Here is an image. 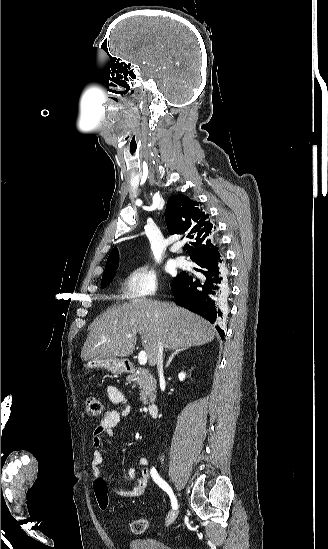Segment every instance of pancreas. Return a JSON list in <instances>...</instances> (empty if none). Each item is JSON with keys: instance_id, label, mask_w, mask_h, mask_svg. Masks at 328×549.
I'll list each match as a JSON object with an SVG mask.
<instances>
[{"instance_id": "obj_1", "label": "pancreas", "mask_w": 328, "mask_h": 549, "mask_svg": "<svg viewBox=\"0 0 328 549\" xmlns=\"http://www.w3.org/2000/svg\"><path fill=\"white\" fill-rule=\"evenodd\" d=\"M127 381H134L136 385H139L142 403H150L148 399H154L157 383L149 371H146V369H137L136 373L128 375Z\"/></svg>"}]
</instances>
